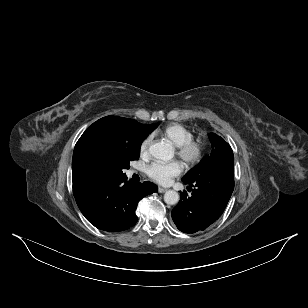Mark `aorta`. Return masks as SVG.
Masks as SVG:
<instances>
[{"mask_svg": "<svg viewBox=\"0 0 308 308\" xmlns=\"http://www.w3.org/2000/svg\"><path fill=\"white\" fill-rule=\"evenodd\" d=\"M150 154L159 160H170L174 156L172 147L164 142H158L150 146ZM164 201L166 204L175 205L179 201V194L174 190H168L164 194Z\"/></svg>", "mask_w": 308, "mask_h": 308, "instance_id": "762f6f07", "label": "aorta"}]
</instances>
